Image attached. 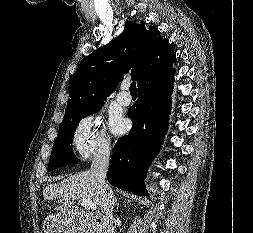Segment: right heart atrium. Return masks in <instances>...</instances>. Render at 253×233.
Masks as SVG:
<instances>
[{"mask_svg":"<svg viewBox=\"0 0 253 233\" xmlns=\"http://www.w3.org/2000/svg\"><path fill=\"white\" fill-rule=\"evenodd\" d=\"M73 139L76 151L84 159L97 154H107L111 149L104 123L97 115L82 118L76 126Z\"/></svg>","mask_w":253,"mask_h":233,"instance_id":"obj_1","label":"right heart atrium"}]
</instances>
